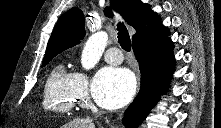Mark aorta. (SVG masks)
I'll return each instance as SVG.
<instances>
[{
  "label": "aorta",
  "instance_id": "1",
  "mask_svg": "<svg viewBox=\"0 0 221 128\" xmlns=\"http://www.w3.org/2000/svg\"><path fill=\"white\" fill-rule=\"evenodd\" d=\"M108 34L104 31L97 32L89 37L82 51L81 64L86 70L93 68L100 60L107 46Z\"/></svg>",
  "mask_w": 221,
  "mask_h": 128
}]
</instances>
